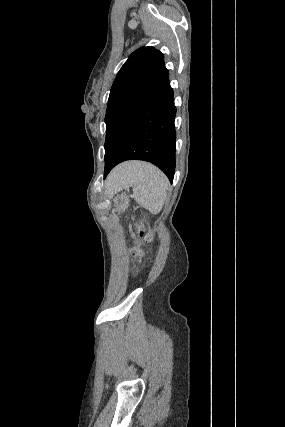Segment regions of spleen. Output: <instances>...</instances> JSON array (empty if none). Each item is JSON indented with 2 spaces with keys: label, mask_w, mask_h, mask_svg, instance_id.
Listing matches in <instances>:
<instances>
[{
  "label": "spleen",
  "mask_w": 285,
  "mask_h": 427,
  "mask_svg": "<svg viewBox=\"0 0 285 427\" xmlns=\"http://www.w3.org/2000/svg\"><path fill=\"white\" fill-rule=\"evenodd\" d=\"M116 182L110 186L111 191L132 187L136 202L152 214L162 210L170 185L161 170L145 162H133L120 172Z\"/></svg>",
  "instance_id": "3e777b00"
}]
</instances>
